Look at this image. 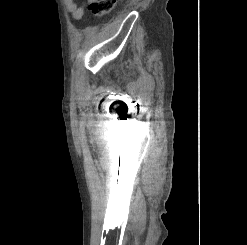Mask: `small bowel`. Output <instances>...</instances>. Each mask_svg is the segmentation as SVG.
I'll return each mask as SVG.
<instances>
[{
  "mask_svg": "<svg viewBox=\"0 0 247 245\" xmlns=\"http://www.w3.org/2000/svg\"><path fill=\"white\" fill-rule=\"evenodd\" d=\"M66 9L71 13L75 20H80L85 14V8L77 5L74 0H63ZM91 1V0H90Z\"/></svg>",
  "mask_w": 247,
  "mask_h": 245,
  "instance_id": "obj_1",
  "label": "small bowel"
}]
</instances>
